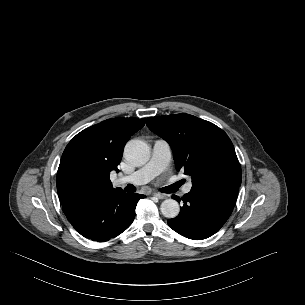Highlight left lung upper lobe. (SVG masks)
Instances as JSON below:
<instances>
[{
    "label": "left lung upper lobe",
    "mask_w": 305,
    "mask_h": 305,
    "mask_svg": "<svg viewBox=\"0 0 305 305\" xmlns=\"http://www.w3.org/2000/svg\"><path fill=\"white\" fill-rule=\"evenodd\" d=\"M151 131L171 146L177 171L192 178V188L241 185V166L227 134L211 122L181 113L147 118Z\"/></svg>",
    "instance_id": "1"
}]
</instances>
